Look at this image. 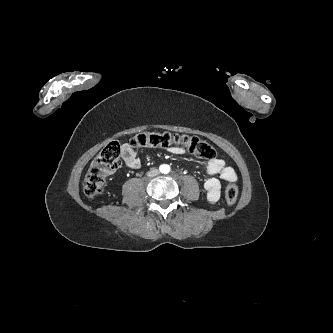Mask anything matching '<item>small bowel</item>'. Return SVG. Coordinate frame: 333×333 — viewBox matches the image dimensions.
<instances>
[{
	"instance_id": "c3829d8e",
	"label": "small bowel",
	"mask_w": 333,
	"mask_h": 333,
	"mask_svg": "<svg viewBox=\"0 0 333 333\" xmlns=\"http://www.w3.org/2000/svg\"><path fill=\"white\" fill-rule=\"evenodd\" d=\"M168 150L174 155H183L185 153L182 147H170ZM121 155L127 167L131 169H139L141 167V160L127 143L122 145ZM202 169L211 176L204 184L206 199L210 204H215L219 201L221 195V184L215 176L227 182H235L237 175L232 167L226 165L224 160L219 158H213L208 161L202 166Z\"/></svg>"
}]
</instances>
